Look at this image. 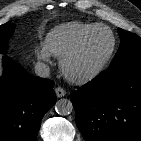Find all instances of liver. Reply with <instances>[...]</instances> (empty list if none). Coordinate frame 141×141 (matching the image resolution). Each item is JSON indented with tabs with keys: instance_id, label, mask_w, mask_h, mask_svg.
Returning a JSON list of instances; mask_svg holds the SVG:
<instances>
[{
	"instance_id": "1",
	"label": "liver",
	"mask_w": 141,
	"mask_h": 141,
	"mask_svg": "<svg viewBox=\"0 0 141 141\" xmlns=\"http://www.w3.org/2000/svg\"><path fill=\"white\" fill-rule=\"evenodd\" d=\"M2 74V68H1V64H0V75Z\"/></svg>"
}]
</instances>
